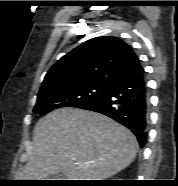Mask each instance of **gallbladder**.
Listing matches in <instances>:
<instances>
[{"instance_id":"1","label":"gallbladder","mask_w":178,"mask_h":186,"mask_svg":"<svg viewBox=\"0 0 178 186\" xmlns=\"http://www.w3.org/2000/svg\"><path fill=\"white\" fill-rule=\"evenodd\" d=\"M61 178H63V175L60 173L50 176V180H60Z\"/></svg>"}]
</instances>
